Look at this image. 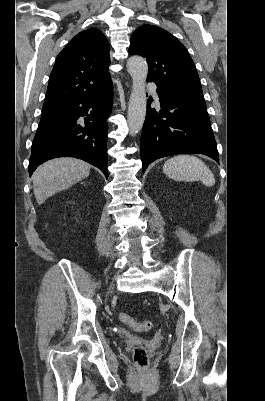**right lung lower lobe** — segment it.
<instances>
[{
    "label": "right lung lower lobe",
    "mask_w": 265,
    "mask_h": 401,
    "mask_svg": "<svg viewBox=\"0 0 265 401\" xmlns=\"http://www.w3.org/2000/svg\"><path fill=\"white\" fill-rule=\"evenodd\" d=\"M112 96L110 82L99 92L43 108L32 143L29 174L49 159L69 156L98 167L108 178L106 120Z\"/></svg>",
    "instance_id": "1"
}]
</instances>
